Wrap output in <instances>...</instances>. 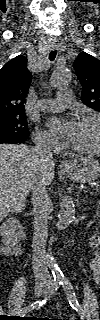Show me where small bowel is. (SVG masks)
Masks as SVG:
<instances>
[{
    "label": "small bowel",
    "mask_w": 100,
    "mask_h": 320,
    "mask_svg": "<svg viewBox=\"0 0 100 320\" xmlns=\"http://www.w3.org/2000/svg\"><path fill=\"white\" fill-rule=\"evenodd\" d=\"M98 247V246H97ZM89 268L93 274V277L97 283H100V258H94L90 264Z\"/></svg>",
    "instance_id": "small-bowel-1"
}]
</instances>
